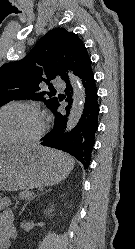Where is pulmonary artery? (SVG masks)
Masks as SVG:
<instances>
[{"label":"pulmonary artery","instance_id":"pulmonary-artery-1","mask_svg":"<svg viewBox=\"0 0 135 249\" xmlns=\"http://www.w3.org/2000/svg\"><path fill=\"white\" fill-rule=\"evenodd\" d=\"M53 85L55 88H64L65 87V84L59 79H55L53 82Z\"/></svg>","mask_w":135,"mask_h":249}]
</instances>
